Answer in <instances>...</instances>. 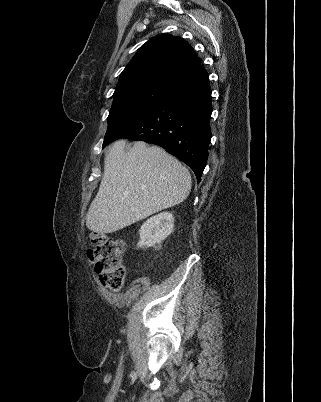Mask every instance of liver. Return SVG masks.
<instances>
[{
  "instance_id": "1",
  "label": "liver",
  "mask_w": 321,
  "mask_h": 402,
  "mask_svg": "<svg viewBox=\"0 0 321 402\" xmlns=\"http://www.w3.org/2000/svg\"><path fill=\"white\" fill-rule=\"evenodd\" d=\"M125 147V140L117 141L106 154L99 191L86 214L93 232H116L180 204L190 193V172L162 148L143 141Z\"/></svg>"
}]
</instances>
